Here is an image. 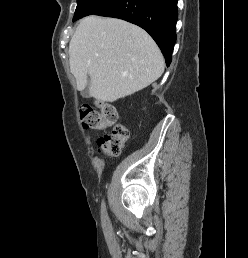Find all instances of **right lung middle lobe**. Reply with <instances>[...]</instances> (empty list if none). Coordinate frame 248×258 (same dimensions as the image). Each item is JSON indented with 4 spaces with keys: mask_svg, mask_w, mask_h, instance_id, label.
Here are the masks:
<instances>
[{
    "mask_svg": "<svg viewBox=\"0 0 248 258\" xmlns=\"http://www.w3.org/2000/svg\"><path fill=\"white\" fill-rule=\"evenodd\" d=\"M114 0H77V8L73 17L76 21L84 16L95 14Z\"/></svg>",
    "mask_w": 248,
    "mask_h": 258,
    "instance_id": "1",
    "label": "right lung middle lobe"
}]
</instances>
